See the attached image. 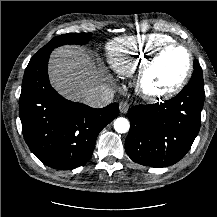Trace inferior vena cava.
Masks as SVG:
<instances>
[{"label":"inferior vena cava","instance_id":"1","mask_svg":"<svg viewBox=\"0 0 217 217\" xmlns=\"http://www.w3.org/2000/svg\"><path fill=\"white\" fill-rule=\"evenodd\" d=\"M114 91L105 86L93 88L84 98L83 102L93 108H102L112 103Z\"/></svg>","mask_w":217,"mask_h":217}]
</instances>
